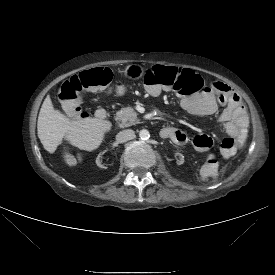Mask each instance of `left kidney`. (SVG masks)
Returning a JSON list of instances; mask_svg holds the SVG:
<instances>
[{
  "mask_svg": "<svg viewBox=\"0 0 275 275\" xmlns=\"http://www.w3.org/2000/svg\"><path fill=\"white\" fill-rule=\"evenodd\" d=\"M176 156L178 157L177 161L178 164L181 165L184 163V156L181 153H176Z\"/></svg>",
  "mask_w": 275,
  "mask_h": 275,
  "instance_id": "obj_1",
  "label": "left kidney"
}]
</instances>
